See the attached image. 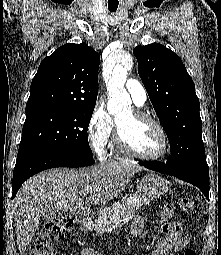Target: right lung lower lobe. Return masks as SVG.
<instances>
[{
	"mask_svg": "<svg viewBox=\"0 0 221 255\" xmlns=\"http://www.w3.org/2000/svg\"><path fill=\"white\" fill-rule=\"evenodd\" d=\"M93 158L69 153L23 147L18 151L13 172V196L15 197L22 183L34 174L54 167H84L94 164Z\"/></svg>",
	"mask_w": 221,
	"mask_h": 255,
	"instance_id": "98d812e1",
	"label": "right lung lower lobe"
}]
</instances>
